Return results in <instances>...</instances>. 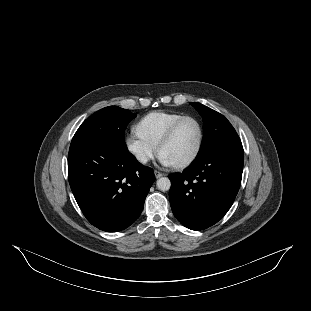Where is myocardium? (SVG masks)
I'll list each match as a JSON object with an SVG mask.
<instances>
[{
	"mask_svg": "<svg viewBox=\"0 0 311 311\" xmlns=\"http://www.w3.org/2000/svg\"><path fill=\"white\" fill-rule=\"evenodd\" d=\"M187 119H195L198 122L199 127H200V140H199L198 148H197L195 154L189 160H187L183 163H180L178 165H174L178 169H185V168L192 166L200 158V156L203 152L205 141H206V127H205V124L202 121V119L199 116L194 115V114H188V115L182 116L178 121H176L171 126V128L163 136V138L160 140V142L157 146V152H158V154H161L162 149L173 141V139L175 138L180 126Z\"/></svg>",
	"mask_w": 311,
	"mask_h": 311,
	"instance_id": "f54148a6",
	"label": "myocardium"
}]
</instances>
